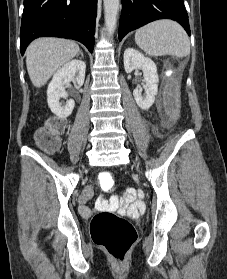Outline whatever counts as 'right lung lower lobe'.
<instances>
[{
	"mask_svg": "<svg viewBox=\"0 0 227 279\" xmlns=\"http://www.w3.org/2000/svg\"><path fill=\"white\" fill-rule=\"evenodd\" d=\"M97 0H24L20 48L41 36L74 39L94 48Z\"/></svg>",
	"mask_w": 227,
	"mask_h": 279,
	"instance_id": "98d812e1",
	"label": "right lung lower lobe"
}]
</instances>
